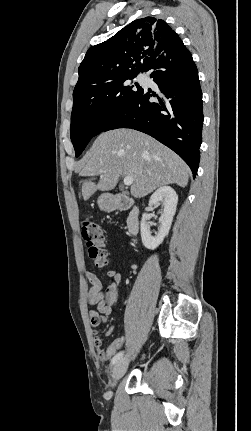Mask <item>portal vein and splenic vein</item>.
Returning <instances> with one entry per match:
<instances>
[{"label":"portal vein and splenic vein","instance_id":"obj_1","mask_svg":"<svg viewBox=\"0 0 251 431\" xmlns=\"http://www.w3.org/2000/svg\"><path fill=\"white\" fill-rule=\"evenodd\" d=\"M124 185H126V186H130V185H132V183H133V177L132 176H126L125 178H124Z\"/></svg>","mask_w":251,"mask_h":431}]
</instances>
